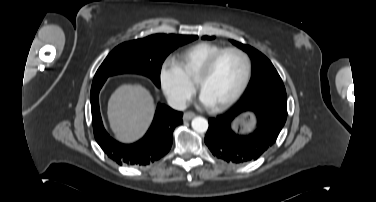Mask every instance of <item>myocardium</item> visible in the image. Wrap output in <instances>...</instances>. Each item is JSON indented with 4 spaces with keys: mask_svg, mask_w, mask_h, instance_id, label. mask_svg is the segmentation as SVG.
<instances>
[{
    "mask_svg": "<svg viewBox=\"0 0 376 202\" xmlns=\"http://www.w3.org/2000/svg\"><path fill=\"white\" fill-rule=\"evenodd\" d=\"M227 53H235L243 59L244 65H245L244 76H243V79L239 88L231 97H229L227 100H225L224 102L218 105H212V109L214 111H223L229 108L232 104H234L246 90L250 81V77H251L252 62H251L249 55L240 48L226 47L220 50L219 52H217L216 54H214L212 57H210L200 69L194 81L198 90L201 91V85L203 81L211 74L212 70L214 69L219 59Z\"/></svg>",
    "mask_w": 376,
    "mask_h": 202,
    "instance_id": "myocardium-1",
    "label": "myocardium"
}]
</instances>
